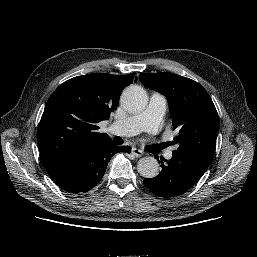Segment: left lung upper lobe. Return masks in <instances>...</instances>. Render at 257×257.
I'll list each match as a JSON object with an SVG mask.
<instances>
[{
  "label": "left lung upper lobe",
  "mask_w": 257,
  "mask_h": 257,
  "mask_svg": "<svg viewBox=\"0 0 257 257\" xmlns=\"http://www.w3.org/2000/svg\"><path fill=\"white\" fill-rule=\"evenodd\" d=\"M146 87L166 96L172 124L179 130L174 143L177 152L187 153L208 163L212 162L219 118L207 91L197 82L170 72L142 73Z\"/></svg>",
  "instance_id": "5c2ea615"
}]
</instances>
